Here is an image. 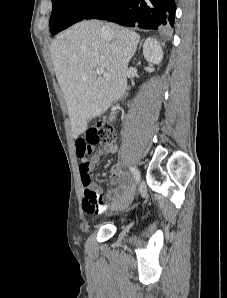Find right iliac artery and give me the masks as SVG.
<instances>
[{
  "label": "right iliac artery",
  "instance_id": "right-iliac-artery-1",
  "mask_svg": "<svg viewBox=\"0 0 227 298\" xmlns=\"http://www.w3.org/2000/svg\"><path fill=\"white\" fill-rule=\"evenodd\" d=\"M130 172L134 176L136 182L138 183L140 181V173L135 167H129Z\"/></svg>",
  "mask_w": 227,
  "mask_h": 298
}]
</instances>
